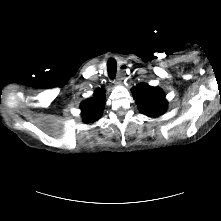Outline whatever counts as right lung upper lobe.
Here are the masks:
<instances>
[{"label":"right lung upper lobe","mask_w":221,"mask_h":221,"mask_svg":"<svg viewBox=\"0 0 221 221\" xmlns=\"http://www.w3.org/2000/svg\"><path fill=\"white\" fill-rule=\"evenodd\" d=\"M105 94L104 90H97L93 97L85 100L81 104L82 117L85 123L97 121L104 107Z\"/></svg>","instance_id":"obj_1"}]
</instances>
